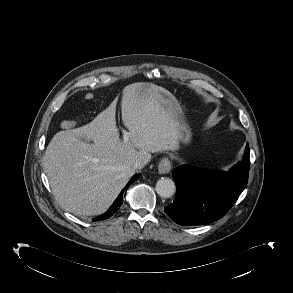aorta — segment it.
<instances>
[{
	"mask_svg": "<svg viewBox=\"0 0 293 293\" xmlns=\"http://www.w3.org/2000/svg\"><path fill=\"white\" fill-rule=\"evenodd\" d=\"M155 189L159 196L169 198L174 195L176 187L173 180L163 177L157 181Z\"/></svg>",
	"mask_w": 293,
	"mask_h": 293,
	"instance_id": "1",
	"label": "aorta"
}]
</instances>
